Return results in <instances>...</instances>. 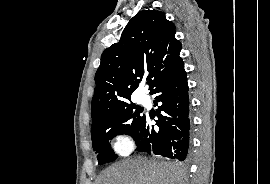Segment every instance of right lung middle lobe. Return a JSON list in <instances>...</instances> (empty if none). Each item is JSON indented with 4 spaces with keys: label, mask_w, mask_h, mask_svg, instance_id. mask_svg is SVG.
I'll return each mask as SVG.
<instances>
[{
    "label": "right lung middle lobe",
    "mask_w": 270,
    "mask_h": 184,
    "mask_svg": "<svg viewBox=\"0 0 270 184\" xmlns=\"http://www.w3.org/2000/svg\"><path fill=\"white\" fill-rule=\"evenodd\" d=\"M134 104H126L111 115L92 124V145L97 152L99 165L112 162L118 155L113 152L109 141L116 135H137L145 115L140 116ZM136 109V110H135Z\"/></svg>",
    "instance_id": "1"
}]
</instances>
